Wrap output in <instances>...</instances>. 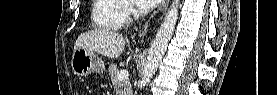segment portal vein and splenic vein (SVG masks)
Returning a JSON list of instances; mask_svg holds the SVG:
<instances>
[{"instance_id": "obj_1", "label": "portal vein and splenic vein", "mask_w": 277, "mask_h": 95, "mask_svg": "<svg viewBox=\"0 0 277 95\" xmlns=\"http://www.w3.org/2000/svg\"><path fill=\"white\" fill-rule=\"evenodd\" d=\"M129 77V72L127 70H121L120 72L117 73L116 78L118 80H126Z\"/></svg>"}]
</instances>
